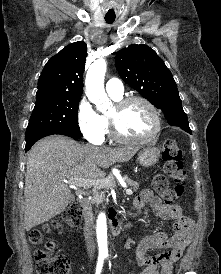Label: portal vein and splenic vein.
<instances>
[{
  "instance_id": "1",
  "label": "portal vein and splenic vein",
  "mask_w": 221,
  "mask_h": 274,
  "mask_svg": "<svg viewBox=\"0 0 221 274\" xmlns=\"http://www.w3.org/2000/svg\"><path fill=\"white\" fill-rule=\"evenodd\" d=\"M66 184H69L70 186H77V187H110L113 186L114 182L112 179H91V178H72L69 180H64ZM126 194L131 195L132 190L126 189Z\"/></svg>"
}]
</instances>
